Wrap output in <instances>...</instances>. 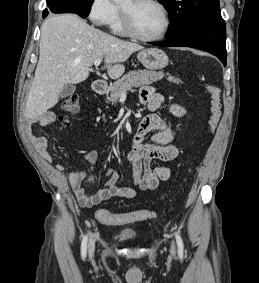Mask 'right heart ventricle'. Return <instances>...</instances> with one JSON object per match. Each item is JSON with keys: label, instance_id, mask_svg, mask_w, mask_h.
I'll return each mask as SVG.
<instances>
[{"label": "right heart ventricle", "instance_id": "e07e8e85", "mask_svg": "<svg viewBox=\"0 0 259 283\" xmlns=\"http://www.w3.org/2000/svg\"><path fill=\"white\" fill-rule=\"evenodd\" d=\"M110 28L113 32L119 35H126V32L123 28L122 21H121V15H120V9L119 7H116V12L109 23Z\"/></svg>", "mask_w": 259, "mask_h": 283}]
</instances>
